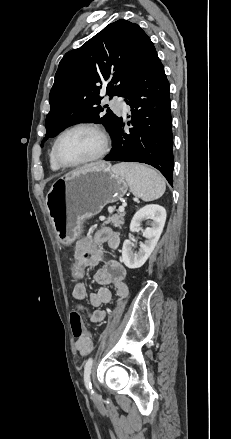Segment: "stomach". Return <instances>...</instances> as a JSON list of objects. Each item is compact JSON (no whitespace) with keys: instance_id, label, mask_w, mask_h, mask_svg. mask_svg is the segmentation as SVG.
I'll list each match as a JSON object with an SVG mask.
<instances>
[{"instance_id":"0dacf381","label":"stomach","mask_w":231,"mask_h":439,"mask_svg":"<svg viewBox=\"0 0 231 439\" xmlns=\"http://www.w3.org/2000/svg\"><path fill=\"white\" fill-rule=\"evenodd\" d=\"M128 190L124 176L109 163L98 162L56 180L46 196V207L57 239L69 245L81 233L82 223L120 200Z\"/></svg>"}]
</instances>
